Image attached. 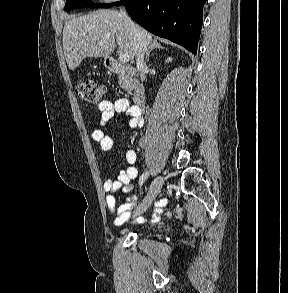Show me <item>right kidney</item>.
<instances>
[{
    "mask_svg": "<svg viewBox=\"0 0 288 293\" xmlns=\"http://www.w3.org/2000/svg\"><path fill=\"white\" fill-rule=\"evenodd\" d=\"M172 61V58L171 57H169L167 60H166V62H171Z\"/></svg>",
    "mask_w": 288,
    "mask_h": 293,
    "instance_id": "obj_1",
    "label": "right kidney"
}]
</instances>
